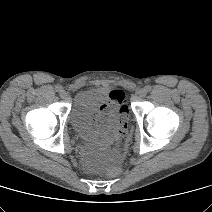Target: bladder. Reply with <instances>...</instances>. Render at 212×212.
I'll use <instances>...</instances> for the list:
<instances>
[{"label": "bladder", "instance_id": "1", "mask_svg": "<svg viewBox=\"0 0 212 212\" xmlns=\"http://www.w3.org/2000/svg\"><path fill=\"white\" fill-rule=\"evenodd\" d=\"M103 97L111 98L112 93L105 88L94 87L79 92L74 99L70 121L77 136L82 141L93 142L97 139L90 130L88 121L91 112L97 108L98 103ZM117 110L118 104L116 103Z\"/></svg>", "mask_w": 212, "mask_h": 212}]
</instances>
